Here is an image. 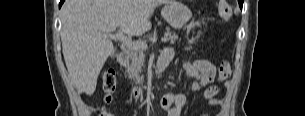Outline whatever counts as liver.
Listing matches in <instances>:
<instances>
[{
  "mask_svg": "<svg viewBox=\"0 0 305 116\" xmlns=\"http://www.w3.org/2000/svg\"><path fill=\"white\" fill-rule=\"evenodd\" d=\"M171 0H66L61 9V41L70 78L87 95L96 89L107 58L114 54L107 35L120 28L129 37L151 28L150 17Z\"/></svg>",
  "mask_w": 305,
  "mask_h": 116,
  "instance_id": "6515ba94",
  "label": "liver"
}]
</instances>
